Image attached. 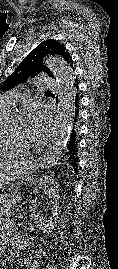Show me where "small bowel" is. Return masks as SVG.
I'll return each mask as SVG.
<instances>
[{
	"label": "small bowel",
	"instance_id": "1",
	"mask_svg": "<svg viewBox=\"0 0 118 269\" xmlns=\"http://www.w3.org/2000/svg\"><path fill=\"white\" fill-rule=\"evenodd\" d=\"M10 246L17 250H27L30 247L28 239L17 236L14 232V220L10 213V206L0 205V251H6Z\"/></svg>",
	"mask_w": 118,
	"mask_h": 269
}]
</instances>
